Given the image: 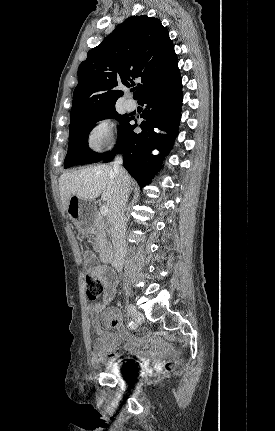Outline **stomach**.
Instances as JSON below:
<instances>
[{"label":"stomach","instance_id":"stomach-1","mask_svg":"<svg viewBox=\"0 0 275 431\" xmlns=\"http://www.w3.org/2000/svg\"><path fill=\"white\" fill-rule=\"evenodd\" d=\"M66 211L80 233L88 234L92 231L94 227V213L93 204L90 200L71 196Z\"/></svg>","mask_w":275,"mask_h":431}]
</instances>
